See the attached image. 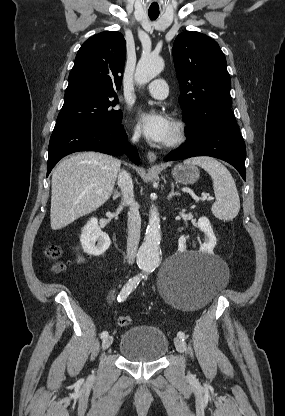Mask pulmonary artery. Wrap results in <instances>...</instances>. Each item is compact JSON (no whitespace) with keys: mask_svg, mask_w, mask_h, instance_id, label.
<instances>
[{"mask_svg":"<svg viewBox=\"0 0 285 416\" xmlns=\"http://www.w3.org/2000/svg\"><path fill=\"white\" fill-rule=\"evenodd\" d=\"M167 83L163 79H155L148 85L142 86V90H147L153 97H155L157 102H164L166 99L167 89L165 87ZM160 87V88H159Z\"/></svg>","mask_w":285,"mask_h":416,"instance_id":"e3ab8cb5","label":"pulmonary artery"}]
</instances>
